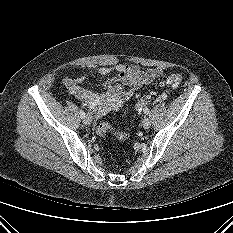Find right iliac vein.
I'll list each match as a JSON object with an SVG mask.
<instances>
[{"label":"right iliac vein","mask_w":233,"mask_h":233,"mask_svg":"<svg viewBox=\"0 0 233 233\" xmlns=\"http://www.w3.org/2000/svg\"><path fill=\"white\" fill-rule=\"evenodd\" d=\"M83 122H84V124H86V125H90L91 122H92V117L89 116V115L85 116V118L83 119Z\"/></svg>","instance_id":"obj_1"}]
</instances>
